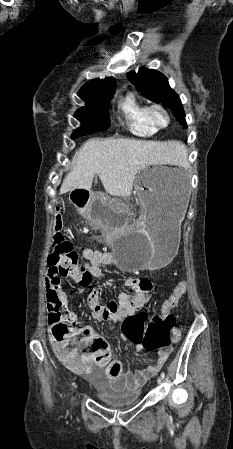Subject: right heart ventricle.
<instances>
[{
	"label": "right heart ventricle",
	"instance_id": "right-heart-ventricle-1",
	"mask_svg": "<svg viewBox=\"0 0 233 449\" xmlns=\"http://www.w3.org/2000/svg\"><path fill=\"white\" fill-rule=\"evenodd\" d=\"M119 111L124 116L129 131L138 137H150L157 129L149 122L146 115L147 105L132 92L119 101Z\"/></svg>",
	"mask_w": 233,
	"mask_h": 449
}]
</instances>
